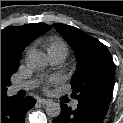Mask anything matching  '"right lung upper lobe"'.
<instances>
[{"label":"right lung upper lobe","instance_id":"1","mask_svg":"<svg viewBox=\"0 0 123 123\" xmlns=\"http://www.w3.org/2000/svg\"><path fill=\"white\" fill-rule=\"evenodd\" d=\"M52 26L44 23L9 26L1 30V69L12 73L19 67L21 54L25 47Z\"/></svg>","mask_w":123,"mask_h":123}]
</instances>
